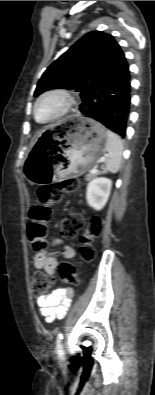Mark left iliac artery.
<instances>
[{"label": "left iliac artery", "instance_id": "44dca946", "mask_svg": "<svg viewBox=\"0 0 155 395\" xmlns=\"http://www.w3.org/2000/svg\"><path fill=\"white\" fill-rule=\"evenodd\" d=\"M62 339H63V334H62V333H59L58 336H57V339H56L57 347L60 346V344H61V342H62Z\"/></svg>", "mask_w": 155, "mask_h": 395}]
</instances>
